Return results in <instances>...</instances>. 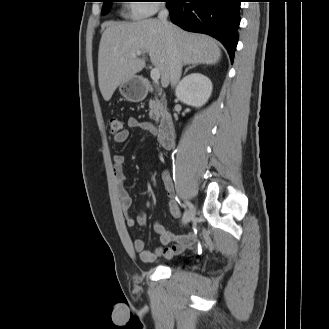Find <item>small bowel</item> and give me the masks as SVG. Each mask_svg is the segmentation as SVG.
I'll list each match as a JSON object with an SVG mask.
<instances>
[{
    "instance_id": "small-bowel-1",
    "label": "small bowel",
    "mask_w": 329,
    "mask_h": 329,
    "mask_svg": "<svg viewBox=\"0 0 329 329\" xmlns=\"http://www.w3.org/2000/svg\"><path fill=\"white\" fill-rule=\"evenodd\" d=\"M127 125L128 129H125L120 134L114 135L113 140L115 143H125L128 140L130 130L132 129H139L142 131L150 132L152 134H156L157 132V129L152 122L140 121L135 117H129L127 120ZM114 177L120 206L124 213L128 227L134 228L136 225L144 226L147 222L146 211H139L135 216L130 214L132 198L125 186V157L122 154H117L114 156ZM161 178L165 189L170 197V215L173 218H178L180 216V208L177 201L174 199L173 181L167 171L162 172ZM154 231L158 234L160 239V245L154 251H149L146 249V244L143 239L138 238L133 241V249L139 254V257L143 262H153L161 256L168 259L172 258L175 255L187 250L195 242V236L193 234L189 233L182 235H174L170 231L166 230L164 226L160 223L154 224Z\"/></svg>"
}]
</instances>
